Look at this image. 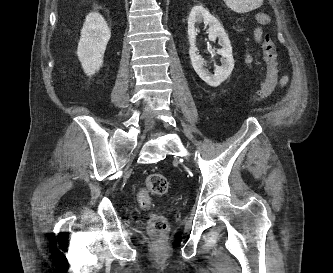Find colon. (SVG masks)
<instances>
[{"instance_id": "1", "label": "colon", "mask_w": 333, "mask_h": 273, "mask_svg": "<svg viewBox=\"0 0 333 273\" xmlns=\"http://www.w3.org/2000/svg\"><path fill=\"white\" fill-rule=\"evenodd\" d=\"M256 19L261 24H269L270 17L262 12L256 14ZM262 61L265 64V73L257 90V100L267 99L275 90L279 80V66L275 44L269 34L264 36L262 42ZM168 180L160 173H153L146 177L143 187L138 194L141 206L147 207L150 202V195H163L168 190ZM150 229L158 234L167 230V221L161 215H155L150 222Z\"/></svg>"}]
</instances>
